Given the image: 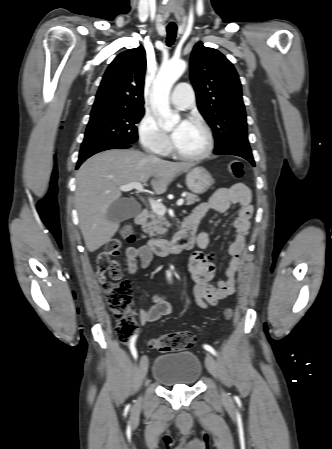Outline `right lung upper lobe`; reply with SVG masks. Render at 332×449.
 Listing matches in <instances>:
<instances>
[{
    "instance_id": "right-lung-upper-lobe-1",
    "label": "right lung upper lobe",
    "mask_w": 332,
    "mask_h": 449,
    "mask_svg": "<svg viewBox=\"0 0 332 449\" xmlns=\"http://www.w3.org/2000/svg\"><path fill=\"white\" fill-rule=\"evenodd\" d=\"M145 70L146 53L142 46L120 53L103 76L91 114L144 109Z\"/></svg>"
}]
</instances>
